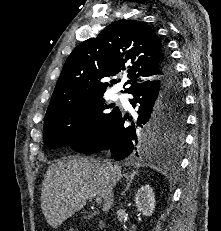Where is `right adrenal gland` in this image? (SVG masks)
I'll use <instances>...</instances> for the list:
<instances>
[{"label": "right adrenal gland", "instance_id": "obj_1", "mask_svg": "<svg viewBox=\"0 0 221 231\" xmlns=\"http://www.w3.org/2000/svg\"><path fill=\"white\" fill-rule=\"evenodd\" d=\"M137 174V171H133L130 174H124V177L126 179V188L125 190L121 193V195H124L125 191H127L132 183V180L134 179V176Z\"/></svg>", "mask_w": 221, "mask_h": 231}]
</instances>
